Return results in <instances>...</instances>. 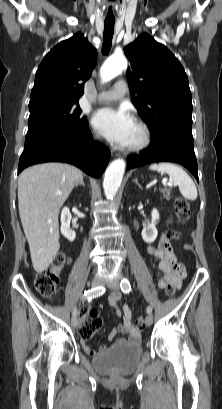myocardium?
Here are the masks:
<instances>
[{
	"instance_id": "obj_1",
	"label": "myocardium",
	"mask_w": 222,
	"mask_h": 409,
	"mask_svg": "<svg viewBox=\"0 0 222 409\" xmlns=\"http://www.w3.org/2000/svg\"><path fill=\"white\" fill-rule=\"evenodd\" d=\"M135 125L139 128L140 133H141V138L140 140L132 145H128L126 147V150L128 152H133V153H137V152H141L145 149H147L151 142H152V132L151 129L149 128V126L141 121V120H137L135 122Z\"/></svg>"
}]
</instances>
